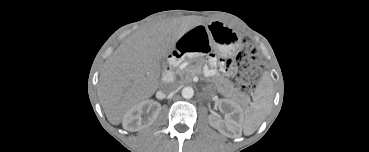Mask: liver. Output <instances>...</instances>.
Segmentation results:
<instances>
[{"instance_id": "6515ba94", "label": "liver", "mask_w": 369, "mask_h": 152, "mask_svg": "<svg viewBox=\"0 0 369 152\" xmlns=\"http://www.w3.org/2000/svg\"><path fill=\"white\" fill-rule=\"evenodd\" d=\"M189 29L178 19L149 24L124 40L106 60L98 96L110 123L119 125L130 108L154 95L160 82V60Z\"/></svg>"}]
</instances>
